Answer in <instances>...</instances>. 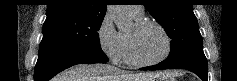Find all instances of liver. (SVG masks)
<instances>
[{"mask_svg": "<svg viewBox=\"0 0 237 81\" xmlns=\"http://www.w3.org/2000/svg\"><path fill=\"white\" fill-rule=\"evenodd\" d=\"M162 72L126 73L107 64H78L60 73L55 81H151Z\"/></svg>", "mask_w": 237, "mask_h": 81, "instance_id": "6515ba94", "label": "liver"}]
</instances>
